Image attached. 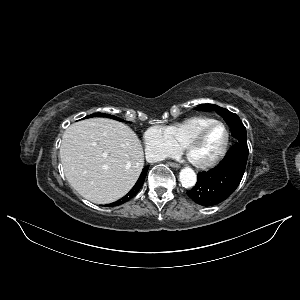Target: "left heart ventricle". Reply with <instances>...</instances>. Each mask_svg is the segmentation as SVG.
<instances>
[{
  "label": "left heart ventricle",
  "mask_w": 300,
  "mask_h": 300,
  "mask_svg": "<svg viewBox=\"0 0 300 300\" xmlns=\"http://www.w3.org/2000/svg\"><path fill=\"white\" fill-rule=\"evenodd\" d=\"M224 140V128L219 125L212 127L202 141L192 149L191 159L195 162H207L213 159L220 152Z\"/></svg>",
  "instance_id": "left-heart-ventricle-1"
}]
</instances>
